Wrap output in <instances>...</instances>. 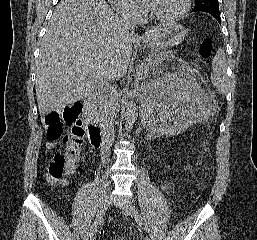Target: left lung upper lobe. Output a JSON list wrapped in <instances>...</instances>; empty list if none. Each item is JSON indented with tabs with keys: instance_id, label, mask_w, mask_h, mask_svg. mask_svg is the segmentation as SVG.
Returning <instances> with one entry per match:
<instances>
[{
	"instance_id": "obj_1",
	"label": "left lung upper lobe",
	"mask_w": 257,
	"mask_h": 240,
	"mask_svg": "<svg viewBox=\"0 0 257 240\" xmlns=\"http://www.w3.org/2000/svg\"><path fill=\"white\" fill-rule=\"evenodd\" d=\"M194 12H213L219 14L218 0H195Z\"/></svg>"
}]
</instances>
